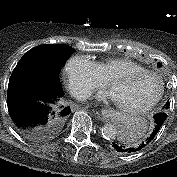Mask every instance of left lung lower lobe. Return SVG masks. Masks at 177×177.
I'll return each instance as SVG.
<instances>
[{
    "mask_svg": "<svg viewBox=\"0 0 177 177\" xmlns=\"http://www.w3.org/2000/svg\"><path fill=\"white\" fill-rule=\"evenodd\" d=\"M166 118H167V114L165 112H161L154 115L155 124L151 135L145 141L140 143L138 146H129V145H123L117 142H113L112 143L113 149L120 153H133L143 149L155 138V136L161 129L163 123L165 122Z\"/></svg>",
    "mask_w": 177,
    "mask_h": 177,
    "instance_id": "left-lung-lower-lobe-1",
    "label": "left lung lower lobe"
}]
</instances>
